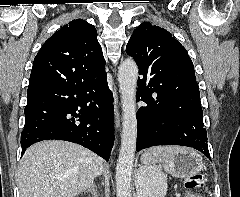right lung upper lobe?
Wrapping results in <instances>:
<instances>
[{"instance_id": "cb5924a9", "label": "right lung upper lobe", "mask_w": 240, "mask_h": 197, "mask_svg": "<svg viewBox=\"0 0 240 197\" xmlns=\"http://www.w3.org/2000/svg\"><path fill=\"white\" fill-rule=\"evenodd\" d=\"M95 27L72 20L55 32L34 59L28 91L52 84H81L106 74Z\"/></svg>"}]
</instances>
